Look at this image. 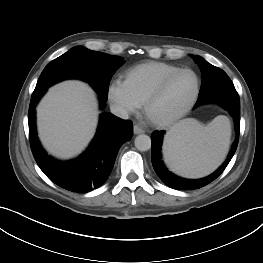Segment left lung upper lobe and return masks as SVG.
<instances>
[{
	"label": "left lung upper lobe",
	"instance_id": "1",
	"mask_svg": "<svg viewBox=\"0 0 263 263\" xmlns=\"http://www.w3.org/2000/svg\"><path fill=\"white\" fill-rule=\"evenodd\" d=\"M193 58L199 65L201 71L204 68H213V75H202V86L199 93V96H203L211 91L215 90H227V89H235L232 81L228 77V75L220 68L215 67L205 61L200 56H196Z\"/></svg>",
	"mask_w": 263,
	"mask_h": 263
}]
</instances>
